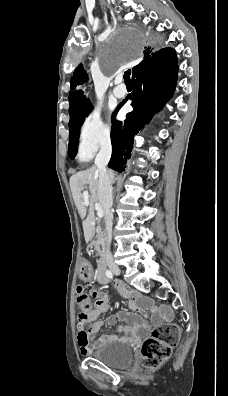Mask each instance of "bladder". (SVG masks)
<instances>
[{
    "label": "bladder",
    "instance_id": "1",
    "mask_svg": "<svg viewBox=\"0 0 228 396\" xmlns=\"http://www.w3.org/2000/svg\"><path fill=\"white\" fill-rule=\"evenodd\" d=\"M89 356L115 368L129 366L134 358L131 345L123 340L98 345L89 351Z\"/></svg>",
    "mask_w": 228,
    "mask_h": 396
}]
</instances>
